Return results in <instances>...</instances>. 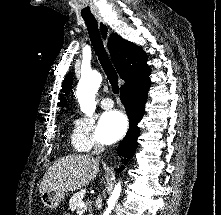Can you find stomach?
Segmentation results:
<instances>
[{"label": "stomach", "mask_w": 221, "mask_h": 215, "mask_svg": "<svg viewBox=\"0 0 221 215\" xmlns=\"http://www.w3.org/2000/svg\"><path fill=\"white\" fill-rule=\"evenodd\" d=\"M65 198V192L48 190L41 194V201L47 208L56 209Z\"/></svg>", "instance_id": "obj_1"}]
</instances>
